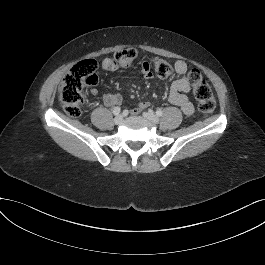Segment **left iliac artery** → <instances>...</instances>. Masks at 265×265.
Returning a JSON list of instances; mask_svg holds the SVG:
<instances>
[{"instance_id":"left-iliac-artery-1","label":"left iliac artery","mask_w":265,"mask_h":265,"mask_svg":"<svg viewBox=\"0 0 265 265\" xmlns=\"http://www.w3.org/2000/svg\"><path fill=\"white\" fill-rule=\"evenodd\" d=\"M156 115L157 116H162L163 115V111L161 109H157L156 110Z\"/></svg>"}]
</instances>
